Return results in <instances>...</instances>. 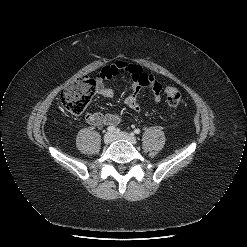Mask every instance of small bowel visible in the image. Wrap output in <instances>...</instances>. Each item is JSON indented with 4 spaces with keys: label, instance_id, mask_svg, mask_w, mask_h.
<instances>
[{
    "label": "small bowel",
    "instance_id": "obj_1",
    "mask_svg": "<svg viewBox=\"0 0 247 247\" xmlns=\"http://www.w3.org/2000/svg\"><path fill=\"white\" fill-rule=\"evenodd\" d=\"M121 73L129 75L131 78V93L125 99V104L130 110L135 112L141 110L138 97L143 88L150 89L156 102L161 100L163 90L161 83L152 75L145 73L141 66L124 61H117L101 69L96 80V93L101 97L111 98L114 93L112 89L104 85V80L115 77ZM85 120L93 126H112L122 121V114L93 112L87 113Z\"/></svg>",
    "mask_w": 247,
    "mask_h": 247
}]
</instances>
